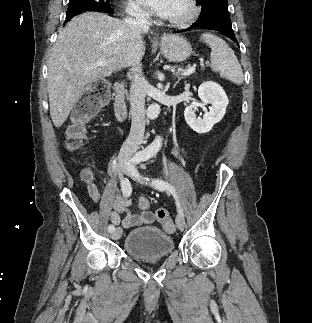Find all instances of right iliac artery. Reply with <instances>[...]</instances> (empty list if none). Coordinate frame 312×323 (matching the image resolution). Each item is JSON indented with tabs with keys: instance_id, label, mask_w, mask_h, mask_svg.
I'll use <instances>...</instances> for the list:
<instances>
[{
	"instance_id": "right-iliac-artery-1",
	"label": "right iliac artery",
	"mask_w": 312,
	"mask_h": 323,
	"mask_svg": "<svg viewBox=\"0 0 312 323\" xmlns=\"http://www.w3.org/2000/svg\"><path fill=\"white\" fill-rule=\"evenodd\" d=\"M138 159L139 158H133L131 159L129 162H128V167L131 168V170L133 171L135 168V164H138ZM114 166H115V160H114ZM121 190H122V193L124 195V197H129L131 195V192H132V187H131V184L129 182V180L126 178V179H122L121 180ZM115 229V227L113 225H109L108 226V231L109 232H113Z\"/></svg>"
}]
</instances>
